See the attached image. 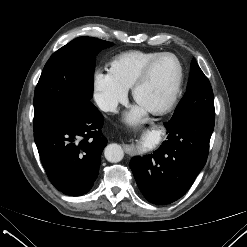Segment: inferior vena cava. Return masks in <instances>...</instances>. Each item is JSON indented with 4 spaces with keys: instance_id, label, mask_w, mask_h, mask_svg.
<instances>
[{
    "instance_id": "obj_1",
    "label": "inferior vena cava",
    "mask_w": 247,
    "mask_h": 247,
    "mask_svg": "<svg viewBox=\"0 0 247 247\" xmlns=\"http://www.w3.org/2000/svg\"><path fill=\"white\" fill-rule=\"evenodd\" d=\"M118 103L111 100H100L98 101L99 108L104 112H114L117 109Z\"/></svg>"
}]
</instances>
